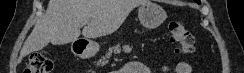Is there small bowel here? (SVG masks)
Segmentation results:
<instances>
[{
	"instance_id": "c3829d8e",
	"label": "small bowel",
	"mask_w": 244,
	"mask_h": 73,
	"mask_svg": "<svg viewBox=\"0 0 244 73\" xmlns=\"http://www.w3.org/2000/svg\"><path fill=\"white\" fill-rule=\"evenodd\" d=\"M163 72H167L165 66L162 67ZM115 73H152L148 65L140 61H129ZM175 73H191V66L187 62H180L175 67Z\"/></svg>"
}]
</instances>
